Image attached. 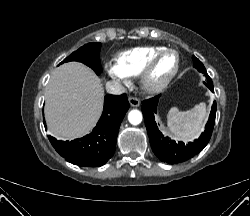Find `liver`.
Instances as JSON below:
<instances>
[{
	"mask_svg": "<svg viewBox=\"0 0 250 216\" xmlns=\"http://www.w3.org/2000/svg\"><path fill=\"white\" fill-rule=\"evenodd\" d=\"M104 90L100 79L78 62L56 68L45 91V118L52 135L74 139L88 133L101 114Z\"/></svg>",
	"mask_w": 250,
	"mask_h": 216,
	"instance_id": "obj_1",
	"label": "liver"
}]
</instances>
